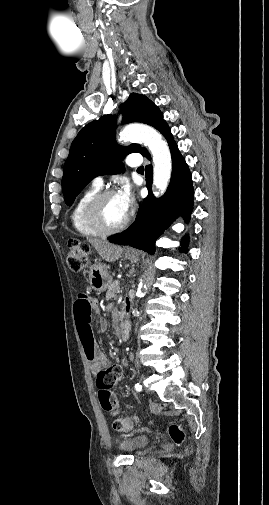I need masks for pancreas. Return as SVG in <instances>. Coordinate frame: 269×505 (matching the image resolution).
I'll list each match as a JSON object with an SVG mask.
<instances>
[{"mask_svg":"<svg viewBox=\"0 0 269 505\" xmlns=\"http://www.w3.org/2000/svg\"><path fill=\"white\" fill-rule=\"evenodd\" d=\"M119 281H114L110 284V286L108 287V291H107V295L110 296V297H115L118 290H119Z\"/></svg>","mask_w":269,"mask_h":505,"instance_id":"cf45deb5","label":"pancreas"}]
</instances>
